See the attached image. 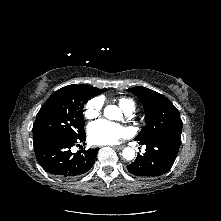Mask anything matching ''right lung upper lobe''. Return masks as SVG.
Wrapping results in <instances>:
<instances>
[{
    "label": "right lung upper lobe",
    "instance_id": "right-lung-upper-lobe-1",
    "mask_svg": "<svg viewBox=\"0 0 221 221\" xmlns=\"http://www.w3.org/2000/svg\"><path fill=\"white\" fill-rule=\"evenodd\" d=\"M73 85H75V84H73ZM69 86H72V85H69ZM75 86L77 88H80L81 90H83L84 93H86L90 98L103 92L102 89H98V88L88 86V85H79V86L75 85Z\"/></svg>",
    "mask_w": 221,
    "mask_h": 221
}]
</instances>
